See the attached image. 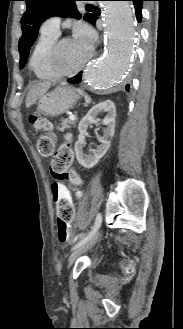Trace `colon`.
Here are the masks:
<instances>
[{"instance_id":"5ec220e1","label":"colon","mask_w":183,"mask_h":329,"mask_svg":"<svg viewBox=\"0 0 183 329\" xmlns=\"http://www.w3.org/2000/svg\"><path fill=\"white\" fill-rule=\"evenodd\" d=\"M30 125L41 134L37 141L38 151L42 156L51 157L50 173L55 182L70 181L80 184L77 172L71 167L73 162V150L69 141L63 143L57 150L56 138L52 132L51 124L42 117L32 115L29 119ZM55 201V199H53ZM73 218H57L58 238L66 242L70 238L68 226Z\"/></svg>"}]
</instances>
